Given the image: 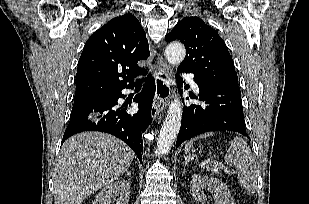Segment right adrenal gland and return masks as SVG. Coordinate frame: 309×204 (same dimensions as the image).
<instances>
[{"mask_svg": "<svg viewBox=\"0 0 309 204\" xmlns=\"http://www.w3.org/2000/svg\"><path fill=\"white\" fill-rule=\"evenodd\" d=\"M127 174L130 176V171H127Z\"/></svg>", "mask_w": 309, "mask_h": 204, "instance_id": "2a0ac1e0", "label": "right adrenal gland"}]
</instances>
